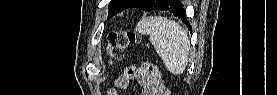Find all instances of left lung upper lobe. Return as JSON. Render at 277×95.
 I'll return each instance as SVG.
<instances>
[{"label": "left lung upper lobe", "mask_w": 277, "mask_h": 95, "mask_svg": "<svg viewBox=\"0 0 277 95\" xmlns=\"http://www.w3.org/2000/svg\"><path fill=\"white\" fill-rule=\"evenodd\" d=\"M134 0H112L109 4L108 19L126 9ZM164 0H151L150 9L160 6ZM180 2L176 0V5Z\"/></svg>", "instance_id": "obj_1"}]
</instances>
